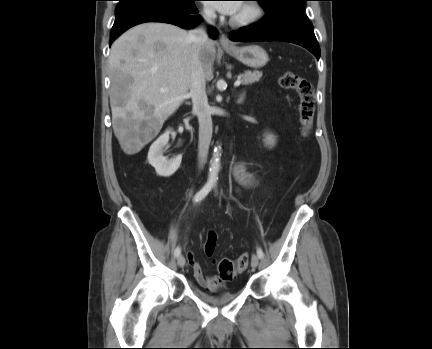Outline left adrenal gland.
<instances>
[{
    "label": "left adrenal gland",
    "instance_id": "obj_1",
    "mask_svg": "<svg viewBox=\"0 0 432 349\" xmlns=\"http://www.w3.org/2000/svg\"><path fill=\"white\" fill-rule=\"evenodd\" d=\"M244 98H245V92H243V93H241V94L239 95L238 100H237V103H238V104L243 103Z\"/></svg>",
    "mask_w": 432,
    "mask_h": 349
}]
</instances>
